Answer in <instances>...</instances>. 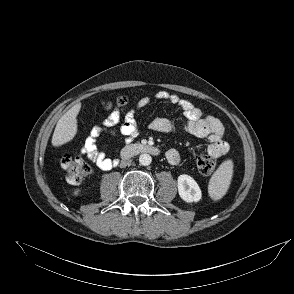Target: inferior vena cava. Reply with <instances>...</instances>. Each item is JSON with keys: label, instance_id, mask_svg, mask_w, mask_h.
I'll return each mask as SVG.
<instances>
[{"label": "inferior vena cava", "instance_id": "obj_1", "mask_svg": "<svg viewBox=\"0 0 294 294\" xmlns=\"http://www.w3.org/2000/svg\"><path fill=\"white\" fill-rule=\"evenodd\" d=\"M129 163H130V160L122 161L121 164H120V167H125V166H127Z\"/></svg>", "mask_w": 294, "mask_h": 294}]
</instances>
